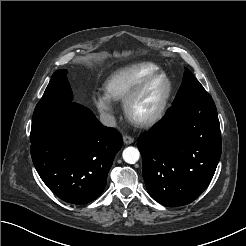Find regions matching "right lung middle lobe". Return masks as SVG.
Masks as SVG:
<instances>
[{"label": "right lung middle lobe", "instance_id": "1", "mask_svg": "<svg viewBox=\"0 0 246 246\" xmlns=\"http://www.w3.org/2000/svg\"><path fill=\"white\" fill-rule=\"evenodd\" d=\"M67 70H58L35 107L33 116L60 110L72 101V91L66 78Z\"/></svg>", "mask_w": 246, "mask_h": 246}]
</instances>
